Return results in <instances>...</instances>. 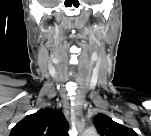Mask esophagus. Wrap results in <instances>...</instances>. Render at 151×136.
Here are the masks:
<instances>
[{
    "mask_svg": "<svg viewBox=\"0 0 151 136\" xmlns=\"http://www.w3.org/2000/svg\"><path fill=\"white\" fill-rule=\"evenodd\" d=\"M74 122L77 129L81 132L84 129V119L76 101H74Z\"/></svg>",
    "mask_w": 151,
    "mask_h": 136,
    "instance_id": "obj_1",
    "label": "esophagus"
}]
</instances>
